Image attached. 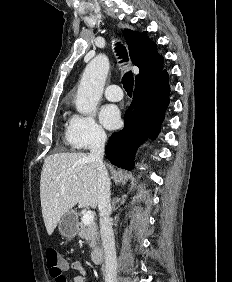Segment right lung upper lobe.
<instances>
[{"label":"right lung upper lobe","mask_w":232,"mask_h":282,"mask_svg":"<svg viewBox=\"0 0 232 282\" xmlns=\"http://www.w3.org/2000/svg\"><path fill=\"white\" fill-rule=\"evenodd\" d=\"M124 37L131 61L140 69L136 79L152 76L163 70L164 58L157 52V45L147 37L146 32L125 29Z\"/></svg>","instance_id":"cb5924a9"}]
</instances>
